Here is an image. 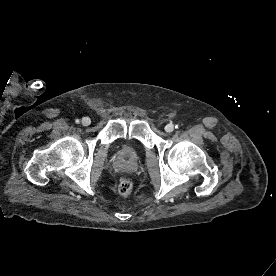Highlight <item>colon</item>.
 Wrapping results in <instances>:
<instances>
[{
	"instance_id": "5ec220e1",
	"label": "colon",
	"mask_w": 276,
	"mask_h": 276,
	"mask_svg": "<svg viewBox=\"0 0 276 276\" xmlns=\"http://www.w3.org/2000/svg\"><path fill=\"white\" fill-rule=\"evenodd\" d=\"M118 193L122 196H128L133 190V184L128 178H121L117 186Z\"/></svg>"
}]
</instances>
